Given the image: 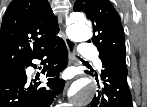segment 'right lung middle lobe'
Returning a JSON list of instances; mask_svg holds the SVG:
<instances>
[{
    "label": "right lung middle lobe",
    "instance_id": "right-lung-middle-lobe-1",
    "mask_svg": "<svg viewBox=\"0 0 147 107\" xmlns=\"http://www.w3.org/2000/svg\"><path fill=\"white\" fill-rule=\"evenodd\" d=\"M22 67H10L5 69H0V79L21 69Z\"/></svg>",
    "mask_w": 147,
    "mask_h": 107
}]
</instances>
